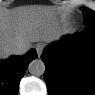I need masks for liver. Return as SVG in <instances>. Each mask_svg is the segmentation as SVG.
<instances>
[{
	"label": "liver",
	"mask_w": 95,
	"mask_h": 95,
	"mask_svg": "<svg viewBox=\"0 0 95 95\" xmlns=\"http://www.w3.org/2000/svg\"><path fill=\"white\" fill-rule=\"evenodd\" d=\"M69 32L67 14L45 5H27L0 12V58L7 59L19 43L52 42Z\"/></svg>",
	"instance_id": "6515ba94"
}]
</instances>
